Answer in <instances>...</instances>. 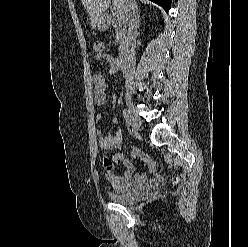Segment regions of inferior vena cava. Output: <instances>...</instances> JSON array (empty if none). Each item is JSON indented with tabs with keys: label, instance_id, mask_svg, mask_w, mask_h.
<instances>
[{
	"label": "inferior vena cava",
	"instance_id": "1",
	"mask_svg": "<svg viewBox=\"0 0 248 247\" xmlns=\"http://www.w3.org/2000/svg\"><path fill=\"white\" fill-rule=\"evenodd\" d=\"M124 17L128 28V36L130 38V57L135 56V37L137 34V5L135 0H124Z\"/></svg>",
	"mask_w": 248,
	"mask_h": 247
}]
</instances>
